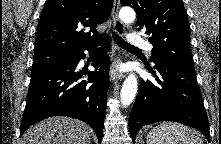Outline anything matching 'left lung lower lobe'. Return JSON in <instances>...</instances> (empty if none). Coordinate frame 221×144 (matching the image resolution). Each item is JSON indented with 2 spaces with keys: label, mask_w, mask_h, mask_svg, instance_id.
Wrapping results in <instances>:
<instances>
[{
  "label": "left lung lower lobe",
  "mask_w": 221,
  "mask_h": 144,
  "mask_svg": "<svg viewBox=\"0 0 221 144\" xmlns=\"http://www.w3.org/2000/svg\"><path fill=\"white\" fill-rule=\"evenodd\" d=\"M146 64L155 81L141 80L140 90L129 118L133 141L144 125L159 121H175L198 129L210 141L209 124L195 68L171 61ZM155 70V71H154Z\"/></svg>",
  "instance_id": "0a47b994"
}]
</instances>
